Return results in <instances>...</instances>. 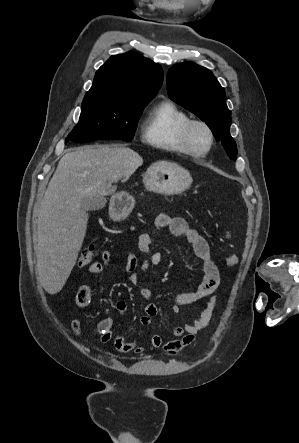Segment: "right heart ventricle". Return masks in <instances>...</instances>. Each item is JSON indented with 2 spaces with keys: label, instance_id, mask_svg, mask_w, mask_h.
<instances>
[{
  "label": "right heart ventricle",
  "instance_id": "e07e8e85",
  "mask_svg": "<svg viewBox=\"0 0 299 443\" xmlns=\"http://www.w3.org/2000/svg\"><path fill=\"white\" fill-rule=\"evenodd\" d=\"M189 120L190 116L176 104L162 101L148 113L142 129V140L158 150L186 154L180 142V133Z\"/></svg>",
  "mask_w": 299,
  "mask_h": 443
}]
</instances>
